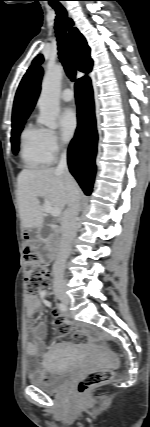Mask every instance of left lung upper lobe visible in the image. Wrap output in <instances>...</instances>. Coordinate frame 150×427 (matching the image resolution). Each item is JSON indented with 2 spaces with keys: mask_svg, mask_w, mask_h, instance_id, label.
Here are the masks:
<instances>
[{
  "mask_svg": "<svg viewBox=\"0 0 150 427\" xmlns=\"http://www.w3.org/2000/svg\"><path fill=\"white\" fill-rule=\"evenodd\" d=\"M42 62H43V56H42V55H38V56L34 59L33 64H40V63H42Z\"/></svg>",
  "mask_w": 150,
  "mask_h": 427,
  "instance_id": "1",
  "label": "left lung upper lobe"
}]
</instances>
